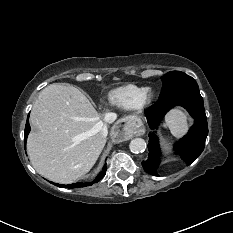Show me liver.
<instances>
[{"mask_svg": "<svg viewBox=\"0 0 233 233\" xmlns=\"http://www.w3.org/2000/svg\"><path fill=\"white\" fill-rule=\"evenodd\" d=\"M32 131L27 140L31 164L43 177L70 184L87 174L106 139L100 114L72 85L51 84L39 94L31 110Z\"/></svg>", "mask_w": 233, "mask_h": 233, "instance_id": "obj_1", "label": "liver"}]
</instances>
